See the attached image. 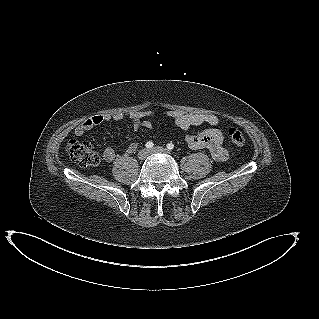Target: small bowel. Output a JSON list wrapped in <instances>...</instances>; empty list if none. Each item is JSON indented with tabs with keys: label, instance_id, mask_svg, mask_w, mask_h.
Wrapping results in <instances>:
<instances>
[{
	"label": "small bowel",
	"instance_id": "small-bowel-1",
	"mask_svg": "<svg viewBox=\"0 0 319 319\" xmlns=\"http://www.w3.org/2000/svg\"><path fill=\"white\" fill-rule=\"evenodd\" d=\"M153 115L154 113L149 110L135 111L130 114V118L135 129H147L152 127L151 118ZM163 115L172 119L180 130L186 132L185 141L189 148L193 150L206 149L216 161H224L228 158V150L224 146V135L218 128L219 117L217 115L182 113L178 110H167L163 112ZM122 118L121 113L95 115L78 125L74 133L77 137H81L95 126L111 120L120 121ZM202 124H207L210 128L196 134L188 133L191 127ZM136 149L137 144L131 142L127 145L124 153L131 155ZM116 156V150L113 147H107L102 154V159L106 162H112Z\"/></svg>",
	"mask_w": 319,
	"mask_h": 319
}]
</instances>
